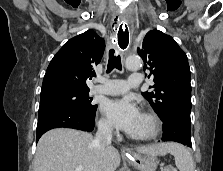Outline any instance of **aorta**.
Segmentation results:
<instances>
[{"instance_id": "1", "label": "aorta", "mask_w": 223, "mask_h": 171, "mask_svg": "<svg viewBox=\"0 0 223 171\" xmlns=\"http://www.w3.org/2000/svg\"><path fill=\"white\" fill-rule=\"evenodd\" d=\"M141 59L138 56H129L126 58L125 67L128 70H138L141 67Z\"/></svg>"}]
</instances>
